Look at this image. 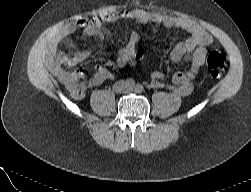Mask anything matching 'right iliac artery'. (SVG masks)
I'll list each match as a JSON object with an SVG mask.
<instances>
[{"mask_svg": "<svg viewBox=\"0 0 251 192\" xmlns=\"http://www.w3.org/2000/svg\"><path fill=\"white\" fill-rule=\"evenodd\" d=\"M126 85H127L128 87H134V86H135V81H134V79L128 78V79L126 80Z\"/></svg>", "mask_w": 251, "mask_h": 192, "instance_id": "right-iliac-artery-1", "label": "right iliac artery"}]
</instances>
